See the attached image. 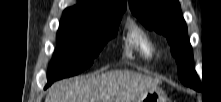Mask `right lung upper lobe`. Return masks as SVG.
Instances as JSON below:
<instances>
[{
	"label": "right lung upper lobe",
	"instance_id": "obj_1",
	"mask_svg": "<svg viewBox=\"0 0 221 102\" xmlns=\"http://www.w3.org/2000/svg\"><path fill=\"white\" fill-rule=\"evenodd\" d=\"M126 9V0H79L66 8L62 17L76 19H109L119 16Z\"/></svg>",
	"mask_w": 221,
	"mask_h": 102
}]
</instances>
